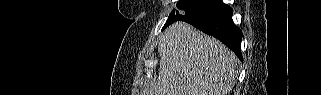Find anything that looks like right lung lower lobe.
Masks as SVG:
<instances>
[{
	"instance_id": "1",
	"label": "right lung lower lobe",
	"mask_w": 321,
	"mask_h": 95,
	"mask_svg": "<svg viewBox=\"0 0 321 95\" xmlns=\"http://www.w3.org/2000/svg\"><path fill=\"white\" fill-rule=\"evenodd\" d=\"M233 10L222 0H214L201 10L185 16L180 21L192 24L199 30L216 37L242 60V32L232 20Z\"/></svg>"
}]
</instances>
